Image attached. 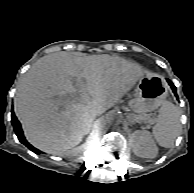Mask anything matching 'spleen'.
<instances>
[{
	"label": "spleen",
	"mask_w": 194,
	"mask_h": 193,
	"mask_svg": "<svg viewBox=\"0 0 194 193\" xmlns=\"http://www.w3.org/2000/svg\"><path fill=\"white\" fill-rule=\"evenodd\" d=\"M181 130L180 111L169 101H163L159 109L157 124L153 135L160 146L170 148L174 145Z\"/></svg>",
	"instance_id": "1"
}]
</instances>
